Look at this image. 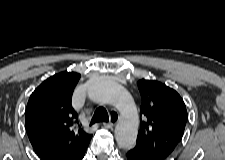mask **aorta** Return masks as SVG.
I'll return each instance as SVG.
<instances>
[{"mask_svg":"<svg viewBox=\"0 0 225 160\" xmlns=\"http://www.w3.org/2000/svg\"><path fill=\"white\" fill-rule=\"evenodd\" d=\"M88 97L100 104H112L120 112V120L115 128V138L123 149L135 146L138 133V113L128 91L111 80H99L88 88Z\"/></svg>","mask_w":225,"mask_h":160,"instance_id":"1","label":"aorta"}]
</instances>
